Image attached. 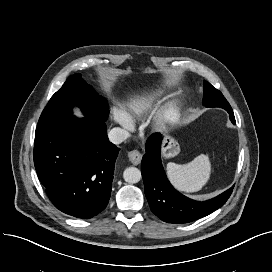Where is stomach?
Masks as SVG:
<instances>
[{
    "label": "stomach",
    "instance_id": "obj_1",
    "mask_svg": "<svg viewBox=\"0 0 272 272\" xmlns=\"http://www.w3.org/2000/svg\"><path fill=\"white\" fill-rule=\"evenodd\" d=\"M180 152L179 143L171 136L165 135L163 145H162V154L164 158H172Z\"/></svg>",
    "mask_w": 272,
    "mask_h": 272
}]
</instances>
